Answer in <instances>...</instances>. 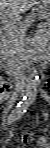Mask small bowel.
<instances>
[{
	"label": "small bowel",
	"instance_id": "small-bowel-1",
	"mask_svg": "<svg viewBox=\"0 0 50 148\" xmlns=\"http://www.w3.org/2000/svg\"><path fill=\"white\" fill-rule=\"evenodd\" d=\"M26 137H27L26 133H23V134H22V139H23V140H26ZM38 147H41V148H49V147H50V144L48 143L46 137H41V138L38 140Z\"/></svg>",
	"mask_w": 50,
	"mask_h": 148
}]
</instances>
